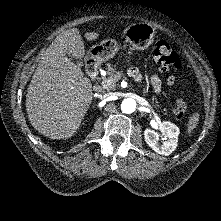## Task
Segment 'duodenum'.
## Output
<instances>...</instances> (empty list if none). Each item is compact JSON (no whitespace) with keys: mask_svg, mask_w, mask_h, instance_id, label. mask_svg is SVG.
I'll use <instances>...</instances> for the list:
<instances>
[{"mask_svg":"<svg viewBox=\"0 0 221 221\" xmlns=\"http://www.w3.org/2000/svg\"><path fill=\"white\" fill-rule=\"evenodd\" d=\"M85 70H86L87 77L90 80L94 81L97 75V70H98V63L94 57L87 58Z\"/></svg>","mask_w":221,"mask_h":221,"instance_id":"duodenum-1","label":"duodenum"}]
</instances>
